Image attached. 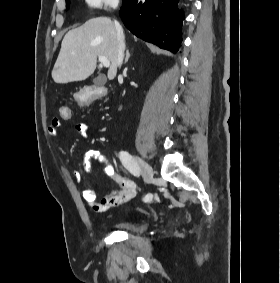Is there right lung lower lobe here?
I'll return each instance as SVG.
<instances>
[{
	"instance_id": "1",
	"label": "right lung lower lobe",
	"mask_w": 280,
	"mask_h": 283,
	"mask_svg": "<svg viewBox=\"0 0 280 283\" xmlns=\"http://www.w3.org/2000/svg\"><path fill=\"white\" fill-rule=\"evenodd\" d=\"M178 0H123L120 17L137 37L160 48L176 52L182 39L184 12Z\"/></svg>"
}]
</instances>
